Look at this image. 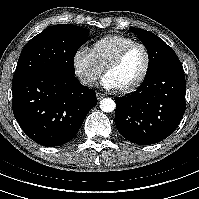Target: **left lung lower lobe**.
Returning <instances> with one entry per match:
<instances>
[{"label": "left lung lower lobe", "mask_w": 199, "mask_h": 199, "mask_svg": "<svg viewBox=\"0 0 199 199\" xmlns=\"http://www.w3.org/2000/svg\"><path fill=\"white\" fill-rule=\"evenodd\" d=\"M186 81L179 59L145 76L139 88L116 99L115 125L132 143L150 145L170 136L185 113Z\"/></svg>", "instance_id": "1"}]
</instances>
